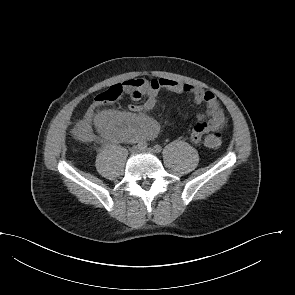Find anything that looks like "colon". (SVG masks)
<instances>
[{"label":"colon","instance_id":"1","mask_svg":"<svg viewBox=\"0 0 295 295\" xmlns=\"http://www.w3.org/2000/svg\"><path fill=\"white\" fill-rule=\"evenodd\" d=\"M125 88V83L115 84L104 92L98 94L93 102L92 107L115 103L121 97ZM92 113L89 112L84 121L79 123L73 130L74 136L81 141H89L92 138V130L90 127ZM206 146L210 148H218L221 145V139L216 134H210L205 138Z\"/></svg>","mask_w":295,"mask_h":295}]
</instances>
